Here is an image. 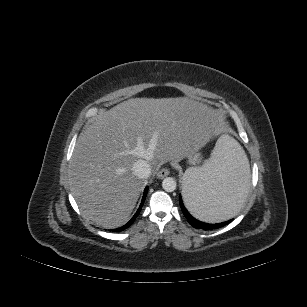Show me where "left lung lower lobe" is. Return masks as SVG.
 Returning a JSON list of instances; mask_svg holds the SVG:
<instances>
[{
  "instance_id": "obj_1",
  "label": "left lung lower lobe",
  "mask_w": 307,
  "mask_h": 307,
  "mask_svg": "<svg viewBox=\"0 0 307 307\" xmlns=\"http://www.w3.org/2000/svg\"><path fill=\"white\" fill-rule=\"evenodd\" d=\"M247 180V173L241 167H236L227 174V181L221 191V194L222 200L225 205L233 211H236V209H238L239 205L241 204L242 197L244 194V187L246 185ZM179 203L184 216L187 218L188 223L197 229H203L205 231L218 229L229 224L233 220L230 219L228 221L216 224L205 223L197 220L188 212L182 202L181 195L179 196Z\"/></svg>"
}]
</instances>
